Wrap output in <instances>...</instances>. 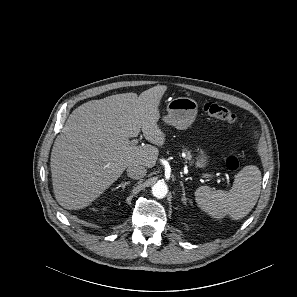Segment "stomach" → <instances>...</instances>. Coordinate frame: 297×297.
I'll use <instances>...</instances> for the list:
<instances>
[{
	"instance_id": "stomach-1",
	"label": "stomach",
	"mask_w": 297,
	"mask_h": 297,
	"mask_svg": "<svg viewBox=\"0 0 297 297\" xmlns=\"http://www.w3.org/2000/svg\"><path fill=\"white\" fill-rule=\"evenodd\" d=\"M198 112V104L195 100L188 97L173 98L167 105V115L163 120L166 124L172 125L177 129H187L195 120ZM199 157V166H204L206 163V156Z\"/></svg>"
}]
</instances>
